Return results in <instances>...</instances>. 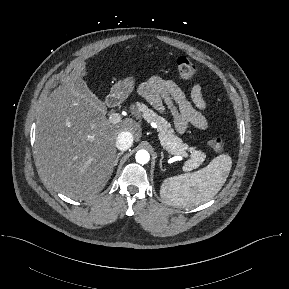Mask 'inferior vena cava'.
<instances>
[{
    "mask_svg": "<svg viewBox=\"0 0 289 289\" xmlns=\"http://www.w3.org/2000/svg\"><path fill=\"white\" fill-rule=\"evenodd\" d=\"M133 144V136L128 131H122L118 134L116 140V147L121 150L125 151L129 149Z\"/></svg>",
    "mask_w": 289,
    "mask_h": 289,
    "instance_id": "602c4592",
    "label": "inferior vena cava"
}]
</instances>
